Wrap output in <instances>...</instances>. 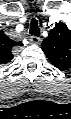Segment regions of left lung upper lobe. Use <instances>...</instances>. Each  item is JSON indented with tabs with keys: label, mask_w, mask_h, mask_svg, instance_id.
<instances>
[{
	"label": "left lung upper lobe",
	"mask_w": 71,
	"mask_h": 119,
	"mask_svg": "<svg viewBox=\"0 0 71 119\" xmlns=\"http://www.w3.org/2000/svg\"><path fill=\"white\" fill-rule=\"evenodd\" d=\"M50 62L61 70L71 67V30L57 23L41 45Z\"/></svg>",
	"instance_id": "left-lung-upper-lobe-1"
}]
</instances>
